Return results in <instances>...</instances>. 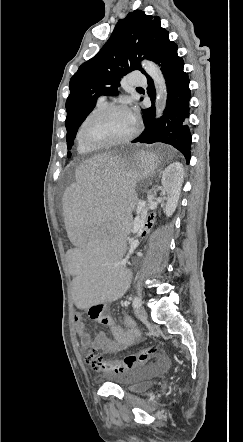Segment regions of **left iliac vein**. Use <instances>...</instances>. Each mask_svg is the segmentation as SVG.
Instances as JSON below:
<instances>
[{
    "mask_svg": "<svg viewBox=\"0 0 243 442\" xmlns=\"http://www.w3.org/2000/svg\"><path fill=\"white\" fill-rule=\"evenodd\" d=\"M135 315L141 321H145L147 319V312L143 306L136 308Z\"/></svg>",
    "mask_w": 243,
    "mask_h": 442,
    "instance_id": "obj_1",
    "label": "left iliac vein"
}]
</instances>
